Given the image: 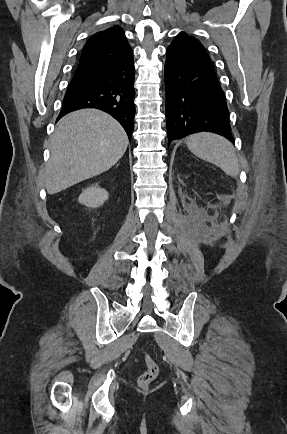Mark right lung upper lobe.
Masks as SVG:
<instances>
[{
  "label": "right lung upper lobe",
  "mask_w": 287,
  "mask_h": 434,
  "mask_svg": "<svg viewBox=\"0 0 287 434\" xmlns=\"http://www.w3.org/2000/svg\"><path fill=\"white\" fill-rule=\"evenodd\" d=\"M132 54L123 29L114 26L89 38L83 47L78 68L117 61Z\"/></svg>",
  "instance_id": "cb5924a9"
}]
</instances>
